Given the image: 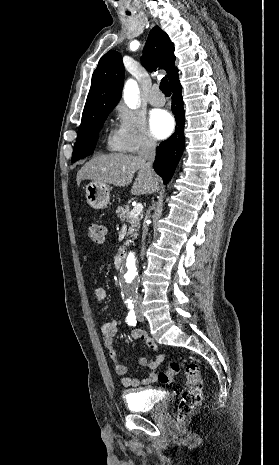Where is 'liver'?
Segmentation results:
<instances>
[{
  "mask_svg": "<svg viewBox=\"0 0 279 465\" xmlns=\"http://www.w3.org/2000/svg\"><path fill=\"white\" fill-rule=\"evenodd\" d=\"M131 193L144 195L159 190V179L149 171L138 156L114 153L96 155L85 163L77 173V185L83 180H92L98 183L112 184L118 187L129 185L134 177Z\"/></svg>",
  "mask_w": 279,
  "mask_h": 465,
  "instance_id": "obj_1",
  "label": "liver"
}]
</instances>
